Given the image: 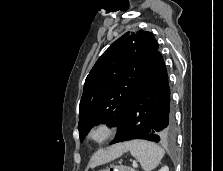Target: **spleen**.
Masks as SVG:
<instances>
[{"mask_svg":"<svg viewBox=\"0 0 223 171\" xmlns=\"http://www.w3.org/2000/svg\"><path fill=\"white\" fill-rule=\"evenodd\" d=\"M127 145L131 155L139 160L144 171L155 169L165 154L159 145L146 140H132Z\"/></svg>","mask_w":223,"mask_h":171,"instance_id":"3e777b00","label":"spleen"}]
</instances>
